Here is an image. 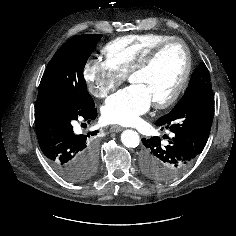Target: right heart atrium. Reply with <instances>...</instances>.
<instances>
[{
	"mask_svg": "<svg viewBox=\"0 0 236 236\" xmlns=\"http://www.w3.org/2000/svg\"><path fill=\"white\" fill-rule=\"evenodd\" d=\"M83 78L94 96L105 98L121 84L124 75L107 59L97 57L85 63Z\"/></svg>",
	"mask_w": 236,
	"mask_h": 236,
	"instance_id": "d8ad5b80",
	"label": "right heart atrium"
}]
</instances>
